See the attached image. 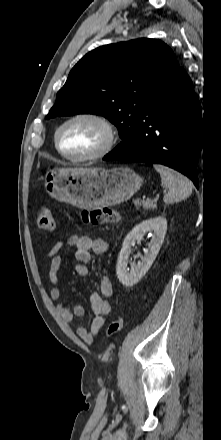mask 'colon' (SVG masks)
Wrapping results in <instances>:
<instances>
[{
	"label": "colon",
	"instance_id": "5ec220e1",
	"mask_svg": "<svg viewBox=\"0 0 221 440\" xmlns=\"http://www.w3.org/2000/svg\"><path fill=\"white\" fill-rule=\"evenodd\" d=\"M82 221L91 226H98L104 224H116L120 220V215L117 211L111 208H96V209H85L81 213ZM36 225L40 230L43 231H53L54 221L52 213L49 208H41L36 215ZM123 320L120 316H116L111 321L107 336L114 337L122 329Z\"/></svg>",
	"mask_w": 221,
	"mask_h": 440
}]
</instances>
